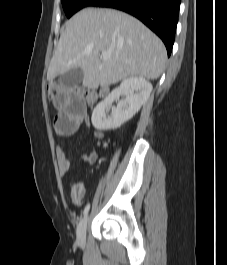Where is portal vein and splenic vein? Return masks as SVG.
I'll use <instances>...</instances> for the list:
<instances>
[{
  "mask_svg": "<svg viewBox=\"0 0 227 265\" xmlns=\"http://www.w3.org/2000/svg\"><path fill=\"white\" fill-rule=\"evenodd\" d=\"M100 58L102 60H106V59L110 58V53H108V52H102L101 55H100Z\"/></svg>",
  "mask_w": 227,
  "mask_h": 265,
  "instance_id": "18ae733b",
  "label": "portal vein and splenic vein"
}]
</instances>
